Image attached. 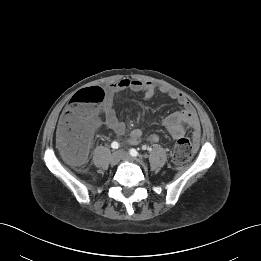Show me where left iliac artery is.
I'll use <instances>...</instances> for the list:
<instances>
[{
  "label": "left iliac artery",
  "instance_id": "44dca946",
  "mask_svg": "<svg viewBox=\"0 0 261 261\" xmlns=\"http://www.w3.org/2000/svg\"><path fill=\"white\" fill-rule=\"evenodd\" d=\"M129 152H130V155H131V156H134V157H137V156H139V154H138V152H137V150H136V149H133V148H132V149H130V151H129Z\"/></svg>",
  "mask_w": 261,
  "mask_h": 261
}]
</instances>
